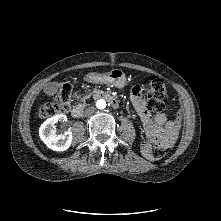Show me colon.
<instances>
[{
  "label": "colon",
  "instance_id": "1",
  "mask_svg": "<svg viewBox=\"0 0 221 221\" xmlns=\"http://www.w3.org/2000/svg\"><path fill=\"white\" fill-rule=\"evenodd\" d=\"M167 88L162 78L153 76L149 79L147 88V106L150 110L160 113L164 109ZM71 103V86H62L54 95L53 102L42 106L38 111L40 118L63 113L68 110ZM167 143H158L150 148L149 154L152 159H161L166 154Z\"/></svg>",
  "mask_w": 221,
  "mask_h": 221
}]
</instances>
